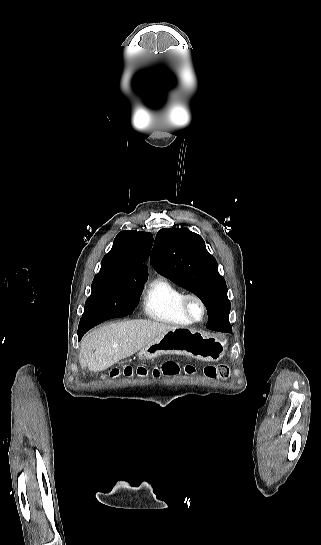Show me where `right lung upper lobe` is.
<instances>
[{
	"mask_svg": "<svg viewBox=\"0 0 321 545\" xmlns=\"http://www.w3.org/2000/svg\"><path fill=\"white\" fill-rule=\"evenodd\" d=\"M153 236L148 232L125 230L115 237L112 249L101 262L97 275L108 276L113 283L122 285L144 284Z\"/></svg>",
	"mask_w": 321,
	"mask_h": 545,
	"instance_id": "1",
	"label": "right lung upper lobe"
}]
</instances>
